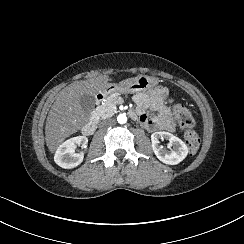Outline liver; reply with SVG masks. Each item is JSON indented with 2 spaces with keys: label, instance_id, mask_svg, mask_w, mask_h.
I'll return each instance as SVG.
<instances>
[{
  "label": "liver",
  "instance_id": "6515ba94",
  "mask_svg": "<svg viewBox=\"0 0 244 244\" xmlns=\"http://www.w3.org/2000/svg\"><path fill=\"white\" fill-rule=\"evenodd\" d=\"M108 75H101L86 81H77L57 94L45 126L46 143L54 152L69 136L81 130L89 120V113L82 110L80 97L97 95L106 88Z\"/></svg>",
  "mask_w": 244,
  "mask_h": 244
}]
</instances>
